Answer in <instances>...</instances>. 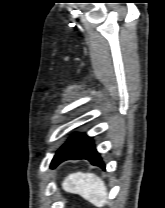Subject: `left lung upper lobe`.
Masks as SVG:
<instances>
[{"instance_id": "1", "label": "left lung upper lobe", "mask_w": 165, "mask_h": 208, "mask_svg": "<svg viewBox=\"0 0 165 208\" xmlns=\"http://www.w3.org/2000/svg\"><path fill=\"white\" fill-rule=\"evenodd\" d=\"M76 137H77V135H74L71 138H69V140L56 152V154L51 162V168H54L55 166H57L60 163L62 157L70 149V147L72 146Z\"/></svg>"}]
</instances>
